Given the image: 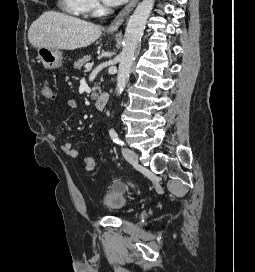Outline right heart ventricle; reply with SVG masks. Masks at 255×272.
I'll use <instances>...</instances> for the list:
<instances>
[{
    "mask_svg": "<svg viewBox=\"0 0 255 272\" xmlns=\"http://www.w3.org/2000/svg\"><path fill=\"white\" fill-rule=\"evenodd\" d=\"M59 6L63 11L75 16L84 13L82 0H59Z\"/></svg>",
    "mask_w": 255,
    "mask_h": 272,
    "instance_id": "obj_1",
    "label": "right heart ventricle"
}]
</instances>
